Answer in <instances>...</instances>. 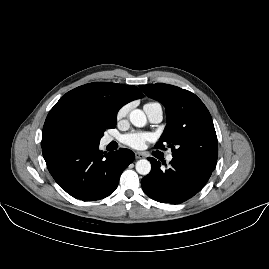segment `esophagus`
<instances>
[{"label": "esophagus", "mask_w": 269, "mask_h": 269, "mask_svg": "<svg viewBox=\"0 0 269 269\" xmlns=\"http://www.w3.org/2000/svg\"><path fill=\"white\" fill-rule=\"evenodd\" d=\"M135 157L137 159H141V158H144V155L141 152H135Z\"/></svg>", "instance_id": "obj_1"}]
</instances>
